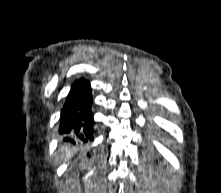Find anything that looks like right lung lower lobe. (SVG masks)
Returning a JSON list of instances; mask_svg holds the SVG:
<instances>
[{"instance_id":"right-lung-lower-lobe-1","label":"right lung lower lobe","mask_w":221,"mask_h":193,"mask_svg":"<svg viewBox=\"0 0 221 193\" xmlns=\"http://www.w3.org/2000/svg\"><path fill=\"white\" fill-rule=\"evenodd\" d=\"M92 95L86 80L73 84L64 104L59 132L65 135L64 140L87 142L93 140V115L91 113Z\"/></svg>"}]
</instances>
